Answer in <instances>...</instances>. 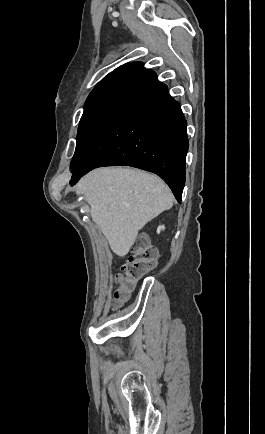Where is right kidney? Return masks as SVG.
<instances>
[{
  "instance_id": "obj_1",
  "label": "right kidney",
  "mask_w": 265,
  "mask_h": 434,
  "mask_svg": "<svg viewBox=\"0 0 265 434\" xmlns=\"http://www.w3.org/2000/svg\"><path fill=\"white\" fill-rule=\"evenodd\" d=\"M161 230H165V226H159V228H157V234H160Z\"/></svg>"
}]
</instances>
